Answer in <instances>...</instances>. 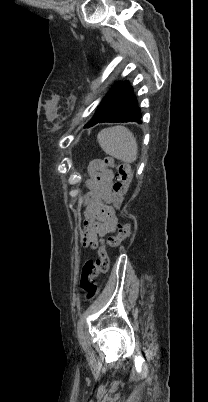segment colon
Instances as JSON below:
<instances>
[{
    "label": "colon",
    "mask_w": 208,
    "mask_h": 402,
    "mask_svg": "<svg viewBox=\"0 0 208 402\" xmlns=\"http://www.w3.org/2000/svg\"><path fill=\"white\" fill-rule=\"evenodd\" d=\"M106 164L115 171L116 182L113 185V205L121 208L127 194L128 187L132 180L130 164L127 162H117L112 157L105 158ZM133 225L125 222L119 226L117 233L108 238V241L98 250L97 260H86L80 271V286L86 293L88 300H92L98 293L97 277L105 275L109 271L110 259L107 253V246L116 247L132 235Z\"/></svg>",
    "instance_id": "obj_1"
}]
</instances>
